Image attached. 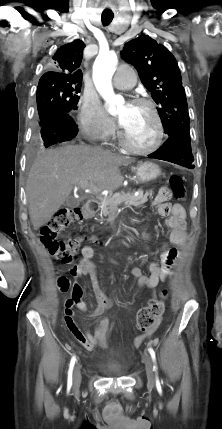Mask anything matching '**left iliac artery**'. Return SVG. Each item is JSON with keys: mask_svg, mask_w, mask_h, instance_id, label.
Here are the masks:
<instances>
[{"mask_svg": "<svg viewBox=\"0 0 222 429\" xmlns=\"http://www.w3.org/2000/svg\"><path fill=\"white\" fill-rule=\"evenodd\" d=\"M149 353L151 355V358L154 362V370L157 372V365H156V354L155 351L153 350V348H149ZM156 379L158 380V377H156Z\"/></svg>", "mask_w": 222, "mask_h": 429, "instance_id": "left-iliac-artery-1", "label": "left iliac artery"}]
</instances>
